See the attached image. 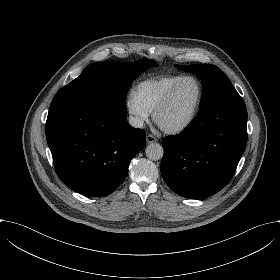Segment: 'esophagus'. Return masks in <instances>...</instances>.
Segmentation results:
<instances>
[{"label":"esophagus","instance_id":"obj_1","mask_svg":"<svg viewBox=\"0 0 280 280\" xmlns=\"http://www.w3.org/2000/svg\"><path fill=\"white\" fill-rule=\"evenodd\" d=\"M155 142H157V138L155 136H153L152 134H147L146 143L150 144V143H155Z\"/></svg>","mask_w":280,"mask_h":280}]
</instances>
